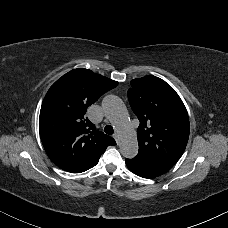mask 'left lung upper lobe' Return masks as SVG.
Wrapping results in <instances>:
<instances>
[{
  "label": "left lung upper lobe",
  "mask_w": 228,
  "mask_h": 228,
  "mask_svg": "<svg viewBox=\"0 0 228 228\" xmlns=\"http://www.w3.org/2000/svg\"><path fill=\"white\" fill-rule=\"evenodd\" d=\"M128 98L140 121L137 157L172 167L189 138V118L176 91L164 80L148 75L131 81Z\"/></svg>",
  "instance_id": "5c2ea615"
}]
</instances>
